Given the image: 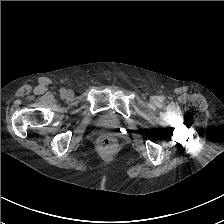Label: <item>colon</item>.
<instances>
[{
    "instance_id": "5ec220e1",
    "label": "colon",
    "mask_w": 224,
    "mask_h": 224,
    "mask_svg": "<svg viewBox=\"0 0 224 224\" xmlns=\"http://www.w3.org/2000/svg\"><path fill=\"white\" fill-rule=\"evenodd\" d=\"M114 143L113 139L108 136H103L99 139V145L101 147H110Z\"/></svg>"
}]
</instances>
